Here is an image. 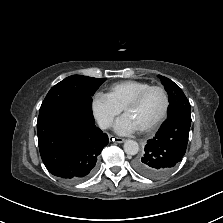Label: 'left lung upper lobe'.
Returning <instances> with one entry per match:
<instances>
[{
  "instance_id": "1",
  "label": "left lung upper lobe",
  "mask_w": 223,
  "mask_h": 223,
  "mask_svg": "<svg viewBox=\"0 0 223 223\" xmlns=\"http://www.w3.org/2000/svg\"><path fill=\"white\" fill-rule=\"evenodd\" d=\"M158 77L168 93L170 103L167 111L168 117L171 115L181 114L191 118L190 103L181 88L164 76L158 75Z\"/></svg>"
}]
</instances>
